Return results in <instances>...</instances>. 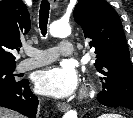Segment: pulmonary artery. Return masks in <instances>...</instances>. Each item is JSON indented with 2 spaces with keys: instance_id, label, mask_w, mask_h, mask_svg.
Returning a JSON list of instances; mask_svg holds the SVG:
<instances>
[{
  "instance_id": "pulmonary-artery-1",
  "label": "pulmonary artery",
  "mask_w": 133,
  "mask_h": 118,
  "mask_svg": "<svg viewBox=\"0 0 133 118\" xmlns=\"http://www.w3.org/2000/svg\"><path fill=\"white\" fill-rule=\"evenodd\" d=\"M25 53L30 58L21 60L17 65L20 72L31 70L55 61L59 56H71L74 47L71 41L62 40L56 47L46 49L26 48Z\"/></svg>"
}]
</instances>
